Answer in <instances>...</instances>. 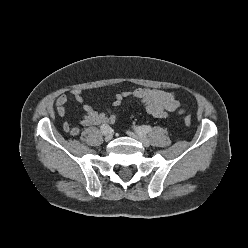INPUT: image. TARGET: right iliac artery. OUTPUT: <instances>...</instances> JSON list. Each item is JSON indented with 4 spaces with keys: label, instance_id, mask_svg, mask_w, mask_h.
<instances>
[{
    "label": "right iliac artery",
    "instance_id": "1",
    "mask_svg": "<svg viewBox=\"0 0 248 248\" xmlns=\"http://www.w3.org/2000/svg\"><path fill=\"white\" fill-rule=\"evenodd\" d=\"M101 132L102 134L106 135L107 133L110 132V127L107 124H103L101 126Z\"/></svg>",
    "mask_w": 248,
    "mask_h": 248
}]
</instances>
